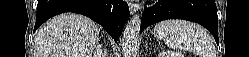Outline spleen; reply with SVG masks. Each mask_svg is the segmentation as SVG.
Returning <instances> with one entry per match:
<instances>
[{"label":"spleen","mask_w":249,"mask_h":57,"mask_svg":"<svg viewBox=\"0 0 249 57\" xmlns=\"http://www.w3.org/2000/svg\"><path fill=\"white\" fill-rule=\"evenodd\" d=\"M155 36L178 50L194 52L200 57H215L212 38L200 25L181 19H169L158 23Z\"/></svg>","instance_id":"3e777b00"}]
</instances>
